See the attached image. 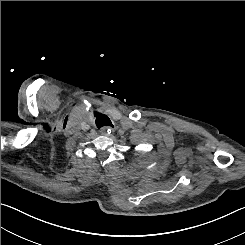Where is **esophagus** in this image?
Wrapping results in <instances>:
<instances>
[{
	"label": "esophagus",
	"mask_w": 245,
	"mask_h": 245,
	"mask_svg": "<svg viewBox=\"0 0 245 245\" xmlns=\"http://www.w3.org/2000/svg\"><path fill=\"white\" fill-rule=\"evenodd\" d=\"M112 130H114V128L112 127H103L101 130H100V133L102 135H106L108 133H110Z\"/></svg>",
	"instance_id": "1"
}]
</instances>
